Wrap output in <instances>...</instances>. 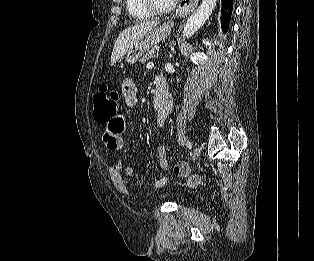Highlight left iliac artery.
Listing matches in <instances>:
<instances>
[{
    "instance_id": "1",
    "label": "left iliac artery",
    "mask_w": 314,
    "mask_h": 261,
    "mask_svg": "<svg viewBox=\"0 0 314 261\" xmlns=\"http://www.w3.org/2000/svg\"><path fill=\"white\" fill-rule=\"evenodd\" d=\"M186 146H187L188 149H191L192 148V143L188 140L186 142Z\"/></svg>"
}]
</instances>
